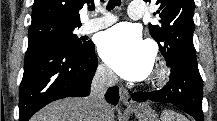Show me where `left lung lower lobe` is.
Returning a JSON list of instances; mask_svg holds the SVG:
<instances>
[{
  "label": "left lung lower lobe",
  "instance_id": "obj_1",
  "mask_svg": "<svg viewBox=\"0 0 217 121\" xmlns=\"http://www.w3.org/2000/svg\"><path fill=\"white\" fill-rule=\"evenodd\" d=\"M169 66L170 81L163 89L153 92H135L132 99L171 103L193 116L196 121H203V82L197 63L178 59Z\"/></svg>",
  "mask_w": 217,
  "mask_h": 121
}]
</instances>
